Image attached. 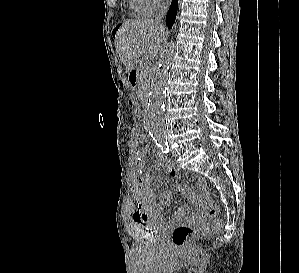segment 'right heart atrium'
<instances>
[{"label": "right heart atrium", "mask_w": 299, "mask_h": 273, "mask_svg": "<svg viewBox=\"0 0 299 273\" xmlns=\"http://www.w3.org/2000/svg\"><path fill=\"white\" fill-rule=\"evenodd\" d=\"M143 7L152 14L155 10L160 8L166 0H140Z\"/></svg>", "instance_id": "right-heart-atrium-1"}]
</instances>
